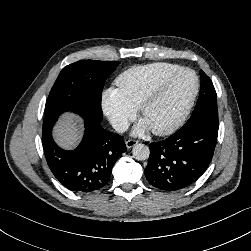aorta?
Here are the masks:
<instances>
[{
	"mask_svg": "<svg viewBox=\"0 0 251 251\" xmlns=\"http://www.w3.org/2000/svg\"><path fill=\"white\" fill-rule=\"evenodd\" d=\"M132 154L136 160L143 161L148 159L150 150L148 146L139 143L133 147Z\"/></svg>",
	"mask_w": 251,
	"mask_h": 251,
	"instance_id": "762f6f07",
	"label": "aorta"
}]
</instances>
